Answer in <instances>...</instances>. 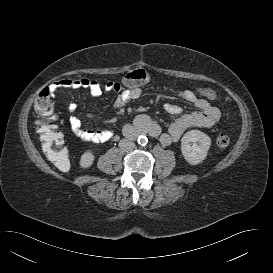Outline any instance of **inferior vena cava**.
Listing matches in <instances>:
<instances>
[{
  "label": "inferior vena cava",
  "instance_id": "602c4592",
  "mask_svg": "<svg viewBox=\"0 0 273 273\" xmlns=\"http://www.w3.org/2000/svg\"><path fill=\"white\" fill-rule=\"evenodd\" d=\"M134 147H135V144L128 139H122L119 142V148L123 151H131L134 149Z\"/></svg>",
  "mask_w": 273,
  "mask_h": 273
}]
</instances>
